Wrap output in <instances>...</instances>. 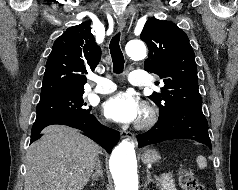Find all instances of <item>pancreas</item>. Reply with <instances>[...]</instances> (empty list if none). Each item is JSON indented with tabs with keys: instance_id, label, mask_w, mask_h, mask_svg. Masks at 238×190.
Masks as SVG:
<instances>
[{
	"instance_id": "1",
	"label": "pancreas",
	"mask_w": 238,
	"mask_h": 190,
	"mask_svg": "<svg viewBox=\"0 0 238 190\" xmlns=\"http://www.w3.org/2000/svg\"><path fill=\"white\" fill-rule=\"evenodd\" d=\"M157 181L162 190H176L174 180L170 176L157 178Z\"/></svg>"
}]
</instances>
